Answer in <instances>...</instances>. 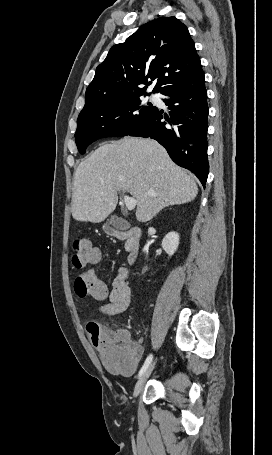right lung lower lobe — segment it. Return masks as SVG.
Wrapping results in <instances>:
<instances>
[{
	"instance_id": "1",
	"label": "right lung lower lobe",
	"mask_w": 272,
	"mask_h": 455,
	"mask_svg": "<svg viewBox=\"0 0 272 455\" xmlns=\"http://www.w3.org/2000/svg\"><path fill=\"white\" fill-rule=\"evenodd\" d=\"M162 94L168 97L164 101L170 117L156 109L128 135L157 140L177 165L192 171L205 186L209 172L206 137L209 108L203 71Z\"/></svg>"
}]
</instances>
